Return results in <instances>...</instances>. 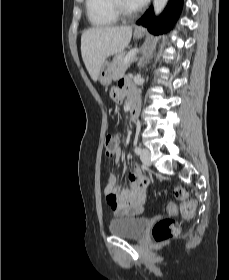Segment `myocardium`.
Returning a JSON list of instances; mask_svg holds the SVG:
<instances>
[{
    "label": "myocardium",
    "mask_w": 229,
    "mask_h": 280,
    "mask_svg": "<svg viewBox=\"0 0 229 280\" xmlns=\"http://www.w3.org/2000/svg\"><path fill=\"white\" fill-rule=\"evenodd\" d=\"M110 8L118 18H129L138 12V8L128 9L122 0H110Z\"/></svg>",
    "instance_id": "obj_1"
}]
</instances>
